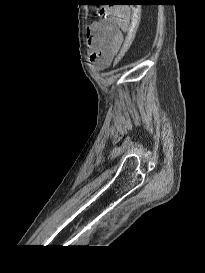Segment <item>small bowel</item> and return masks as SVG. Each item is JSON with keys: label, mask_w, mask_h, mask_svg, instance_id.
Here are the masks:
<instances>
[{"label": "small bowel", "mask_w": 205, "mask_h": 273, "mask_svg": "<svg viewBox=\"0 0 205 273\" xmlns=\"http://www.w3.org/2000/svg\"><path fill=\"white\" fill-rule=\"evenodd\" d=\"M133 16L116 6L101 9V18L87 31L88 52L93 65L103 70L111 65L123 46Z\"/></svg>", "instance_id": "small-bowel-1"}]
</instances>
